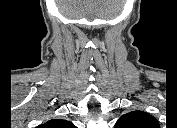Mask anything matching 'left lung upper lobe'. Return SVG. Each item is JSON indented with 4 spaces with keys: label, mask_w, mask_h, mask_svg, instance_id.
I'll list each match as a JSON object with an SVG mask.
<instances>
[{
    "label": "left lung upper lobe",
    "mask_w": 177,
    "mask_h": 128,
    "mask_svg": "<svg viewBox=\"0 0 177 128\" xmlns=\"http://www.w3.org/2000/svg\"><path fill=\"white\" fill-rule=\"evenodd\" d=\"M157 120L144 111H131L122 115L115 128H158Z\"/></svg>",
    "instance_id": "left-lung-upper-lobe-1"
}]
</instances>
